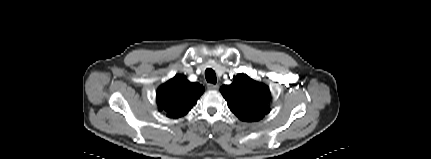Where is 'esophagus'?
<instances>
[{"mask_svg":"<svg viewBox=\"0 0 431 159\" xmlns=\"http://www.w3.org/2000/svg\"><path fill=\"white\" fill-rule=\"evenodd\" d=\"M207 87L210 90H217L219 88V85L218 84H208Z\"/></svg>","mask_w":431,"mask_h":159,"instance_id":"esophagus-1","label":"esophagus"}]
</instances>
